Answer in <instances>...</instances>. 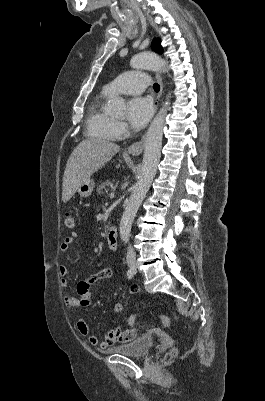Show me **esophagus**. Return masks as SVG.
Segmentation results:
<instances>
[{
  "mask_svg": "<svg viewBox=\"0 0 265 401\" xmlns=\"http://www.w3.org/2000/svg\"><path fill=\"white\" fill-rule=\"evenodd\" d=\"M156 80L159 83L160 90H159V93H158V95H157V97L155 99V102H154L155 109H157V106H158V103H159V100H160V97H161V94H162V90H163V82H162L161 75H159V73H156ZM144 139H145V136H143L141 138V140L136 141L135 143L130 145L128 147V152L133 156L140 155V153H142V151H143Z\"/></svg>",
  "mask_w": 265,
  "mask_h": 401,
  "instance_id": "esophagus-1",
  "label": "esophagus"
}]
</instances>
